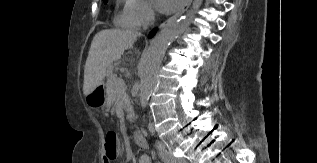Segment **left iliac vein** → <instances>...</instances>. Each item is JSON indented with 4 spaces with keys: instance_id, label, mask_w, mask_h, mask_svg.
Masks as SVG:
<instances>
[{
    "instance_id": "obj_1",
    "label": "left iliac vein",
    "mask_w": 317,
    "mask_h": 163,
    "mask_svg": "<svg viewBox=\"0 0 317 163\" xmlns=\"http://www.w3.org/2000/svg\"><path fill=\"white\" fill-rule=\"evenodd\" d=\"M170 163H176V160H172Z\"/></svg>"
}]
</instances>
